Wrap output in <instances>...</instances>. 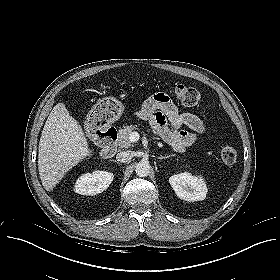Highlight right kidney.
I'll return each mask as SVG.
<instances>
[{
	"instance_id": "right-kidney-1",
	"label": "right kidney",
	"mask_w": 280,
	"mask_h": 280,
	"mask_svg": "<svg viewBox=\"0 0 280 280\" xmlns=\"http://www.w3.org/2000/svg\"><path fill=\"white\" fill-rule=\"evenodd\" d=\"M113 173L94 171L80 176L76 180L74 191L81 195H96L106 190L113 181Z\"/></svg>"
}]
</instances>
